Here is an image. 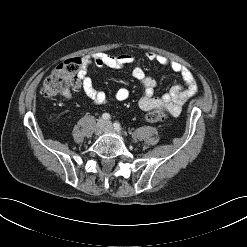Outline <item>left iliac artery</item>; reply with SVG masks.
I'll return each mask as SVG.
<instances>
[{"label":"left iliac artery","instance_id":"1","mask_svg":"<svg viewBox=\"0 0 247 247\" xmlns=\"http://www.w3.org/2000/svg\"><path fill=\"white\" fill-rule=\"evenodd\" d=\"M114 126V129L117 131V132H121V126H120V123L119 122H115L113 124Z\"/></svg>","mask_w":247,"mask_h":247}]
</instances>
